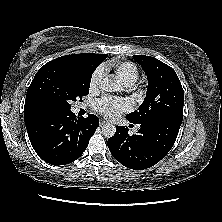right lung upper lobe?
<instances>
[{"label":"right lung upper lobe","mask_w":222,"mask_h":222,"mask_svg":"<svg viewBox=\"0 0 222 222\" xmlns=\"http://www.w3.org/2000/svg\"><path fill=\"white\" fill-rule=\"evenodd\" d=\"M107 54H94V53H84V54H71L59 57L54 60L58 61H67V62H76V63H86L91 64L94 67H98L101 62L107 57ZM45 66L41 67L36 73L31 85L27 90L25 106H24V120L25 123L28 121L39 117L47 112L39 103H37L32 95V88L42 77Z\"/></svg>","instance_id":"right-lung-upper-lobe-1"}]
</instances>
